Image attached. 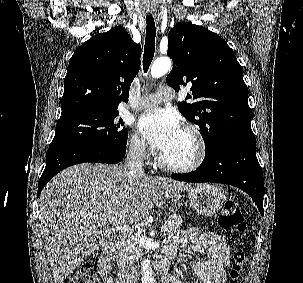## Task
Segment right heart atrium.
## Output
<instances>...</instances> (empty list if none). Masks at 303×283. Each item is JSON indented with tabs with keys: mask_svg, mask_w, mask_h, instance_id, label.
Returning a JSON list of instances; mask_svg holds the SVG:
<instances>
[{
	"mask_svg": "<svg viewBox=\"0 0 303 283\" xmlns=\"http://www.w3.org/2000/svg\"><path fill=\"white\" fill-rule=\"evenodd\" d=\"M129 151L138 160H147L151 150L148 144L137 134H133L129 139Z\"/></svg>",
	"mask_w": 303,
	"mask_h": 283,
	"instance_id": "right-heart-atrium-1",
	"label": "right heart atrium"
}]
</instances>
